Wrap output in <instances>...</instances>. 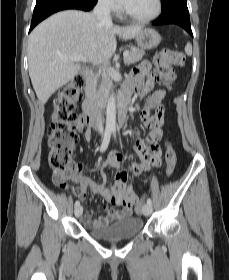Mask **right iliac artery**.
Returning a JSON list of instances; mask_svg holds the SVG:
<instances>
[{
	"label": "right iliac artery",
	"mask_w": 229,
	"mask_h": 280,
	"mask_svg": "<svg viewBox=\"0 0 229 280\" xmlns=\"http://www.w3.org/2000/svg\"><path fill=\"white\" fill-rule=\"evenodd\" d=\"M111 133H112V130L108 129L105 131L104 138H103V141H102V144L100 147V152H104L107 149L109 142H110ZM77 206H80V202L78 200L75 202V207H77Z\"/></svg>",
	"instance_id": "obj_1"
}]
</instances>
